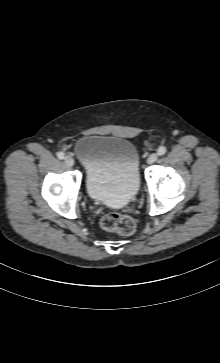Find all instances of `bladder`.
Listing matches in <instances>:
<instances>
[{
    "mask_svg": "<svg viewBox=\"0 0 220 363\" xmlns=\"http://www.w3.org/2000/svg\"><path fill=\"white\" fill-rule=\"evenodd\" d=\"M74 154L85 172L89 197L121 207L137 195L140 158L136 146L118 136L91 135L77 140Z\"/></svg>",
    "mask_w": 220,
    "mask_h": 363,
    "instance_id": "31cf9c89",
    "label": "bladder"
}]
</instances>
